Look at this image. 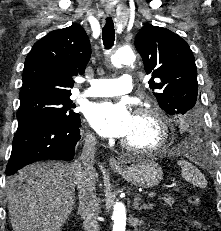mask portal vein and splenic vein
I'll return each instance as SVG.
<instances>
[{"label":"portal vein and splenic vein","mask_w":221,"mask_h":231,"mask_svg":"<svg viewBox=\"0 0 221 231\" xmlns=\"http://www.w3.org/2000/svg\"><path fill=\"white\" fill-rule=\"evenodd\" d=\"M155 196H156V193H154V192L148 194L149 198H154Z\"/></svg>","instance_id":"18ae733b"}]
</instances>
